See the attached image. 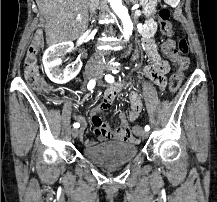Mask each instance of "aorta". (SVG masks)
<instances>
[{
  "instance_id": "762f6f07",
  "label": "aorta",
  "mask_w": 217,
  "mask_h": 202,
  "mask_svg": "<svg viewBox=\"0 0 217 202\" xmlns=\"http://www.w3.org/2000/svg\"><path fill=\"white\" fill-rule=\"evenodd\" d=\"M108 2H110V6H111L113 12H115V14H117L118 18H120V20L122 22L123 36H124L125 40H129L130 36H132L133 24H132V20H131L129 14H128L127 8H125V6H123L122 0H108Z\"/></svg>"
}]
</instances>
